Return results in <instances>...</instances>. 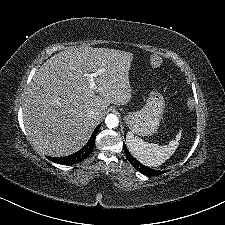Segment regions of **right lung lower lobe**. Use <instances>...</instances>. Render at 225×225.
Here are the masks:
<instances>
[{"label":"right lung lower lobe","mask_w":225,"mask_h":225,"mask_svg":"<svg viewBox=\"0 0 225 225\" xmlns=\"http://www.w3.org/2000/svg\"><path fill=\"white\" fill-rule=\"evenodd\" d=\"M99 128H100V125H98L96 127V129L92 133V135H91L90 139L88 140V142L86 143V145L83 148H81L79 151H77L76 153L71 154L69 156H65V157H58V158L48 157V159L53 162H56L58 164H63V165L76 164V163L83 161L91 154V152L94 148L95 138L99 131Z\"/></svg>","instance_id":"right-lung-lower-lobe-1"}]
</instances>
